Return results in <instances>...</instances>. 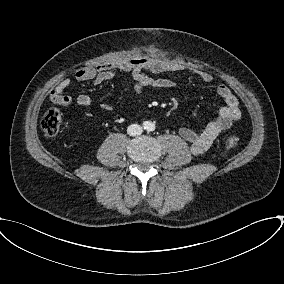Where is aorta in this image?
I'll list each match as a JSON object with an SVG mask.
<instances>
[{
  "mask_svg": "<svg viewBox=\"0 0 284 284\" xmlns=\"http://www.w3.org/2000/svg\"><path fill=\"white\" fill-rule=\"evenodd\" d=\"M154 128H155V125L152 122L147 121V122L144 123V129L145 130L152 131V130H154Z\"/></svg>",
  "mask_w": 284,
  "mask_h": 284,
  "instance_id": "aorta-1",
  "label": "aorta"
}]
</instances>
